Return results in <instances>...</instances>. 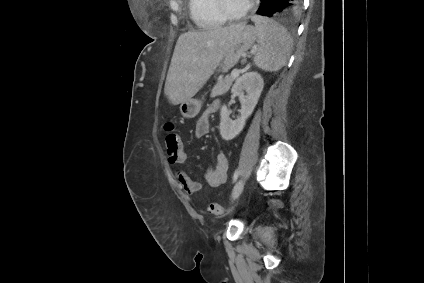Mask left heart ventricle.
Here are the masks:
<instances>
[{"label":"left heart ventricle","mask_w":424,"mask_h":283,"mask_svg":"<svg viewBox=\"0 0 424 283\" xmlns=\"http://www.w3.org/2000/svg\"><path fill=\"white\" fill-rule=\"evenodd\" d=\"M250 0H225L230 11L234 13L242 12L248 5Z\"/></svg>","instance_id":"1"}]
</instances>
